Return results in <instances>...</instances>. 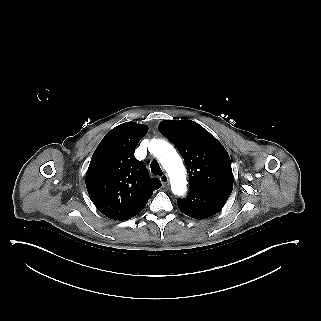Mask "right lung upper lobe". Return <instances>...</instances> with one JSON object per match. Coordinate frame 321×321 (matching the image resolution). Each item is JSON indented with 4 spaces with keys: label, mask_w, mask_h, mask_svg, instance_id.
Here are the masks:
<instances>
[{
    "label": "right lung upper lobe",
    "mask_w": 321,
    "mask_h": 321,
    "mask_svg": "<svg viewBox=\"0 0 321 321\" xmlns=\"http://www.w3.org/2000/svg\"><path fill=\"white\" fill-rule=\"evenodd\" d=\"M147 131L146 125L123 123L109 131L93 153L86 187L95 206L111 219L130 218L161 187L157 178H150L145 164L134 158Z\"/></svg>",
    "instance_id": "right-lung-upper-lobe-1"
}]
</instances>
